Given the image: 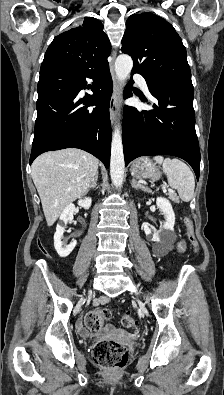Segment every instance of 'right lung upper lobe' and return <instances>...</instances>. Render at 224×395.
<instances>
[{
  "label": "right lung upper lobe",
  "instance_id": "right-lung-upper-lobe-1",
  "mask_svg": "<svg viewBox=\"0 0 224 395\" xmlns=\"http://www.w3.org/2000/svg\"><path fill=\"white\" fill-rule=\"evenodd\" d=\"M111 45L103 32L102 23L85 17L83 23L54 38L48 47L44 62H55L81 72H91L108 65Z\"/></svg>",
  "mask_w": 224,
  "mask_h": 395
}]
</instances>
